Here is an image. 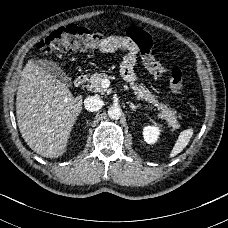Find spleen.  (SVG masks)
<instances>
[{
	"label": "spleen",
	"instance_id": "obj_1",
	"mask_svg": "<svg viewBox=\"0 0 228 228\" xmlns=\"http://www.w3.org/2000/svg\"><path fill=\"white\" fill-rule=\"evenodd\" d=\"M192 135H193V129L190 128V129L183 130L178 136V139L170 153V157H174L180 152H182L183 149L188 145Z\"/></svg>",
	"mask_w": 228,
	"mask_h": 228
}]
</instances>
